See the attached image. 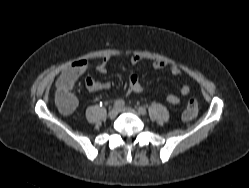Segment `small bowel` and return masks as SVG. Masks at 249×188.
Returning a JSON list of instances; mask_svg holds the SVG:
<instances>
[{
    "label": "small bowel",
    "mask_w": 249,
    "mask_h": 188,
    "mask_svg": "<svg viewBox=\"0 0 249 188\" xmlns=\"http://www.w3.org/2000/svg\"><path fill=\"white\" fill-rule=\"evenodd\" d=\"M141 57L137 54H131L129 56V62L132 65H136L141 61ZM110 62V57H105L102 62H100L96 70L100 74H106L108 70V65ZM88 62L87 60L80 59L75 61L72 65H70L64 73L61 75V77L58 79L56 88L61 89L65 88L69 91H71L75 85V83L78 81L80 76L84 74L87 69H88ZM167 66V63L162 61V60H155L153 62V68L156 70L163 69ZM168 69L171 74L173 75H180L181 74V69L175 65V64H170L168 66ZM128 92L129 93H141L142 92V86L139 82V78L136 74H129L128 75ZM110 83L108 81H97L94 80L91 77L86 78V88L90 92H95V91H101V90H107L110 88ZM190 92V86L187 83H182L180 86V93L185 96ZM167 101L170 104L177 105L181 102V99L179 96H177L174 93H170L167 95Z\"/></svg>",
    "instance_id": "c3829d8e"
}]
</instances>
